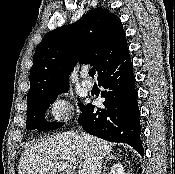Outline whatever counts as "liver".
Instances as JSON below:
<instances>
[{
    "instance_id": "1",
    "label": "liver",
    "mask_w": 175,
    "mask_h": 174,
    "mask_svg": "<svg viewBox=\"0 0 175 174\" xmlns=\"http://www.w3.org/2000/svg\"><path fill=\"white\" fill-rule=\"evenodd\" d=\"M86 135V134H85ZM76 132L55 134L28 145L19 160V174H73L68 157L78 159L80 167L89 174L93 157H109L112 145L98 137Z\"/></svg>"
}]
</instances>
